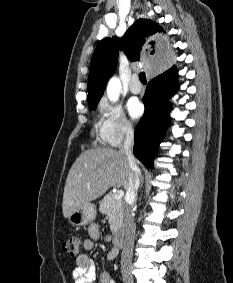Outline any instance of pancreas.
<instances>
[{
    "label": "pancreas",
    "mask_w": 233,
    "mask_h": 283,
    "mask_svg": "<svg viewBox=\"0 0 233 283\" xmlns=\"http://www.w3.org/2000/svg\"><path fill=\"white\" fill-rule=\"evenodd\" d=\"M114 195L109 193L104 196L100 203V212L107 215L111 231L117 233L123 222V202L115 199Z\"/></svg>",
    "instance_id": "1"
}]
</instances>
